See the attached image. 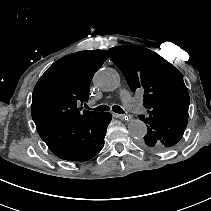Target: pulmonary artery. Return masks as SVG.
<instances>
[{"label":"pulmonary artery","instance_id":"e3ab8cb5","mask_svg":"<svg viewBox=\"0 0 211 211\" xmlns=\"http://www.w3.org/2000/svg\"><path fill=\"white\" fill-rule=\"evenodd\" d=\"M121 98L127 110L132 111L133 115L137 117L145 115L147 108L140 99L131 97L126 90L121 91Z\"/></svg>","mask_w":211,"mask_h":211}]
</instances>
